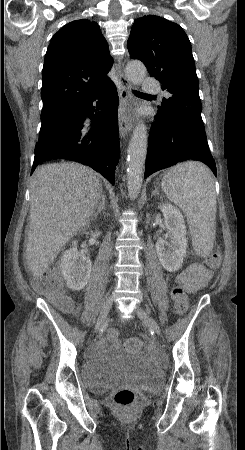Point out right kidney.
Wrapping results in <instances>:
<instances>
[{
  "label": "right kidney",
  "instance_id": "obj_1",
  "mask_svg": "<svg viewBox=\"0 0 245 450\" xmlns=\"http://www.w3.org/2000/svg\"><path fill=\"white\" fill-rule=\"evenodd\" d=\"M77 242L73 241V247L66 250L61 257L63 277L67 286L75 291L82 290L87 285L92 269L89 257L78 252Z\"/></svg>",
  "mask_w": 245,
  "mask_h": 450
}]
</instances>
